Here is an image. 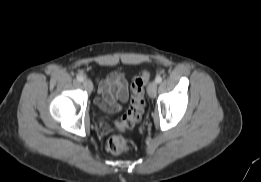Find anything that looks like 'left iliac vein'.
I'll use <instances>...</instances> for the list:
<instances>
[{
    "mask_svg": "<svg viewBox=\"0 0 261 182\" xmlns=\"http://www.w3.org/2000/svg\"><path fill=\"white\" fill-rule=\"evenodd\" d=\"M148 95L151 98H154L156 96V92H157V83L155 81H152L149 85H148Z\"/></svg>",
    "mask_w": 261,
    "mask_h": 182,
    "instance_id": "4c4485c4",
    "label": "left iliac vein"
}]
</instances>
